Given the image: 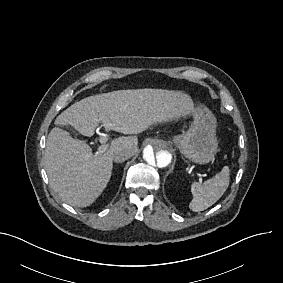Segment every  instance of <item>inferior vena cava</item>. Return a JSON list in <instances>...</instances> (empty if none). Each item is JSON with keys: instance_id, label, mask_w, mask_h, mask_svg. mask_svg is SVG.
<instances>
[{"instance_id": "602c4592", "label": "inferior vena cava", "mask_w": 283, "mask_h": 283, "mask_svg": "<svg viewBox=\"0 0 283 283\" xmlns=\"http://www.w3.org/2000/svg\"><path fill=\"white\" fill-rule=\"evenodd\" d=\"M133 155H134L133 149L129 147L127 148L117 147L114 150L113 159L117 163H122L125 162L128 158L132 157Z\"/></svg>"}]
</instances>
